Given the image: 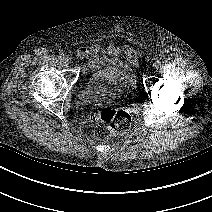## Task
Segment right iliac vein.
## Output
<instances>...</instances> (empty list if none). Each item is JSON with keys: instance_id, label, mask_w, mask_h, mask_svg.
<instances>
[{"instance_id": "obj_1", "label": "right iliac vein", "mask_w": 212, "mask_h": 212, "mask_svg": "<svg viewBox=\"0 0 212 212\" xmlns=\"http://www.w3.org/2000/svg\"><path fill=\"white\" fill-rule=\"evenodd\" d=\"M64 66L68 67L70 65V60L68 58H65L63 60Z\"/></svg>"}]
</instances>
